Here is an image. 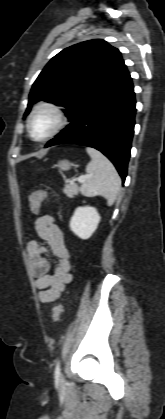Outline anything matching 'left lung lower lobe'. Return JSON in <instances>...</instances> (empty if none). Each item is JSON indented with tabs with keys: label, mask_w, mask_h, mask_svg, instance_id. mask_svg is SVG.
<instances>
[{
	"label": "left lung lower lobe",
	"mask_w": 165,
	"mask_h": 419,
	"mask_svg": "<svg viewBox=\"0 0 165 419\" xmlns=\"http://www.w3.org/2000/svg\"><path fill=\"white\" fill-rule=\"evenodd\" d=\"M135 93L125 69L70 118L71 123L45 147L74 143L95 148L115 165L122 180L127 175L134 132Z\"/></svg>",
	"instance_id": "0a47b994"
}]
</instances>
